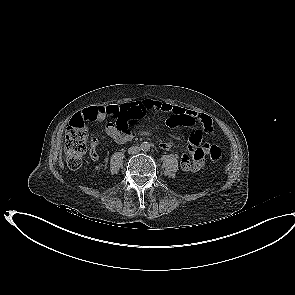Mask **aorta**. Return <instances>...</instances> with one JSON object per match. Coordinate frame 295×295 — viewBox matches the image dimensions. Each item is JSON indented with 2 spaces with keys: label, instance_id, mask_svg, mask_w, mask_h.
Segmentation results:
<instances>
[{
  "label": "aorta",
  "instance_id": "obj_1",
  "mask_svg": "<svg viewBox=\"0 0 295 295\" xmlns=\"http://www.w3.org/2000/svg\"><path fill=\"white\" fill-rule=\"evenodd\" d=\"M141 150L142 151H149L150 150V143H148V142H143L142 144H141Z\"/></svg>",
  "mask_w": 295,
  "mask_h": 295
}]
</instances>
